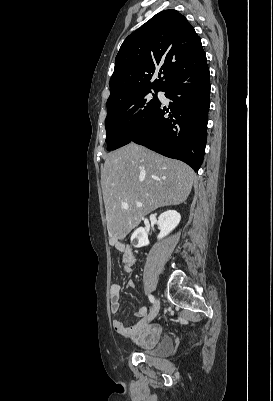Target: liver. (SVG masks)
<instances>
[{"label": "liver", "mask_w": 273, "mask_h": 401, "mask_svg": "<svg viewBox=\"0 0 273 401\" xmlns=\"http://www.w3.org/2000/svg\"><path fill=\"white\" fill-rule=\"evenodd\" d=\"M194 176V170L185 162L166 158L134 142L110 152L102 170L110 241L124 239L158 207L184 203ZM136 203L143 207H136ZM125 205L129 209H124Z\"/></svg>", "instance_id": "liver-1"}]
</instances>
